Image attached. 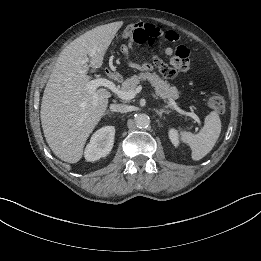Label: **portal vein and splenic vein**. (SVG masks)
<instances>
[{
	"instance_id": "obj_1",
	"label": "portal vein and splenic vein",
	"mask_w": 261,
	"mask_h": 261,
	"mask_svg": "<svg viewBox=\"0 0 261 261\" xmlns=\"http://www.w3.org/2000/svg\"><path fill=\"white\" fill-rule=\"evenodd\" d=\"M100 86H104V87H107L109 88L112 92H114L120 99H123V100H131L133 98H135V96L137 95V93H139L142 89L141 86L137 87L136 90H130V91H123L122 89H119L118 87H116V85L108 80V79H105V78H96V79H93L91 81H89L87 83V89L90 91V92H95L97 88H99ZM152 96L155 98V99H159L158 96H156L153 92H152ZM169 107H172L173 109H175L178 113L182 114V115H186V116H189L191 117L192 119H194L197 123H200V119L199 117L194 114V113H191V112H186L182 109H180L177 104L175 103L174 100H170L169 104H168Z\"/></svg>"
}]
</instances>
